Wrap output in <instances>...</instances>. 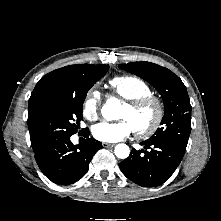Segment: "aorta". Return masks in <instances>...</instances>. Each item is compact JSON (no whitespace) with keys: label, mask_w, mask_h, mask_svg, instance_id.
<instances>
[{"label":"aorta","mask_w":221,"mask_h":221,"mask_svg":"<svg viewBox=\"0 0 221 221\" xmlns=\"http://www.w3.org/2000/svg\"><path fill=\"white\" fill-rule=\"evenodd\" d=\"M120 101L117 98H109L101 109L102 116L110 121L116 117V111L120 107ZM115 155L120 159H125L130 154V149L126 144H118L115 146Z\"/></svg>","instance_id":"aorta-1"}]
</instances>
